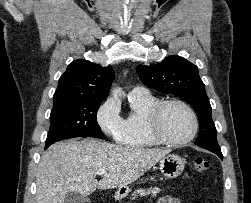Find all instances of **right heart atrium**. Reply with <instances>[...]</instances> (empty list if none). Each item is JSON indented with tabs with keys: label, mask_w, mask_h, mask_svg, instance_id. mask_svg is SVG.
Listing matches in <instances>:
<instances>
[{
	"label": "right heart atrium",
	"mask_w": 251,
	"mask_h": 203,
	"mask_svg": "<svg viewBox=\"0 0 251 203\" xmlns=\"http://www.w3.org/2000/svg\"><path fill=\"white\" fill-rule=\"evenodd\" d=\"M97 122L105 134L113 137L119 134L123 127V119L120 116L118 104L114 99L109 98L99 108Z\"/></svg>",
	"instance_id": "right-heart-atrium-1"
}]
</instances>
